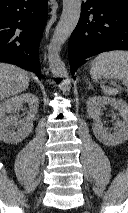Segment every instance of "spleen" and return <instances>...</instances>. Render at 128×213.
Instances as JSON below:
<instances>
[{"label": "spleen", "instance_id": "spleen-1", "mask_svg": "<svg viewBox=\"0 0 128 213\" xmlns=\"http://www.w3.org/2000/svg\"><path fill=\"white\" fill-rule=\"evenodd\" d=\"M92 79L116 78L121 79L128 87V51H110L99 54L92 62L90 69ZM105 95H117L119 88H111L101 84Z\"/></svg>", "mask_w": 128, "mask_h": 213}]
</instances>
